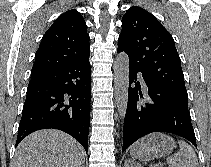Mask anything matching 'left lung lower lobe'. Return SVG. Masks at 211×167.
Instances as JSON below:
<instances>
[{"instance_id": "1", "label": "left lung lower lobe", "mask_w": 211, "mask_h": 167, "mask_svg": "<svg viewBox=\"0 0 211 167\" xmlns=\"http://www.w3.org/2000/svg\"><path fill=\"white\" fill-rule=\"evenodd\" d=\"M117 51L121 52L119 48ZM139 72L142 73L143 81L148 88L145 99L141 85L137 81ZM152 132L173 133L184 137L197 147L188 110V97L158 85L138 67L130 64L122 151L137 139Z\"/></svg>"}]
</instances>
